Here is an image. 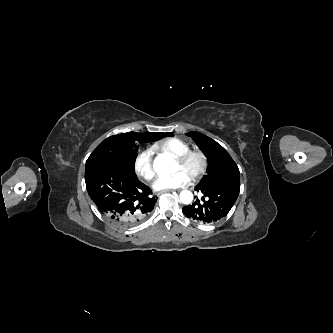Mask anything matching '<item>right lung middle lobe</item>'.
I'll return each mask as SVG.
<instances>
[{
    "label": "right lung middle lobe",
    "instance_id": "right-lung-middle-lobe-1",
    "mask_svg": "<svg viewBox=\"0 0 333 333\" xmlns=\"http://www.w3.org/2000/svg\"><path fill=\"white\" fill-rule=\"evenodd\" d=\"M173 136L172 133H157L156 137ZM138 139L124 134L113 135L100 143L86 161V167L91 165H106L134 175Z\"/></svg>",
    "mask_w": 333,
    "mask_h": 333
}]
</instances>
